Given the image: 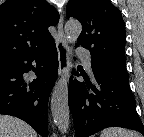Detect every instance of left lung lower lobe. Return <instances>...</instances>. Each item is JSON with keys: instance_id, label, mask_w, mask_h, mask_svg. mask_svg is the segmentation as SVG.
<instances>
[{"instance_id": "obj_1", "label": "left lung lower lobe", "mask_w": 144, "mask_h": 137, "mask_svg": "<svg viewBox=\"0 0 144 137\" xmlns=\"http://www.w3.org/2000/svg\"><path fill=\"white\" fill-rule=\"evenodd\" d=\"M91 66L95 86L70 81L68 103L76 137H88L106 127L128 128L144 135V127L129 88L128 73L92 60Z\"/></svg>"}]
</instances>
